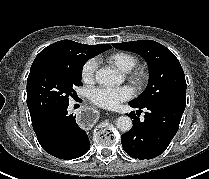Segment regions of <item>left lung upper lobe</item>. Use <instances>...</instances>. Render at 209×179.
Segmentation results:
<instances>
[{"instance_id": "1", "label": "left lung upper lobe", "mask_w": 209, "mask_h": 179, "mask_svg": "<svg viewBox=\"0 0 209 179\" xmlns=\"http://www.w3.org/2000/svg\"><path fill=\"white\" fill-rule=\"evenodd\" d=\"M113 46L141 55L149 66L150 79L146 90L130 102L145 106L168 99H186V80L183 69L168 48L151 40L117 43Z\"/></svg>"}]
</instances>
